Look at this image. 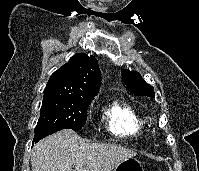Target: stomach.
<instances>
[{"label":"stomach","mask_w":199,"mask_h":171,"mask_svg":"<svg viewBox=\"0 0 199 171\" xmlns=\"http://www.w3.org/2000/svg\"><path fill=\"white\" fill-rule=\"evenodd\" d=\"M114 171H144L141 162L134 158H129L118 163Z\"/></svg>","instance_id":"obj_1"}]
</instances>
